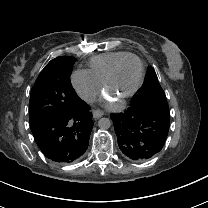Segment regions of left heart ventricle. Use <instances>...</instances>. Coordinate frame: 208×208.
<instances>
[{"label": "left heart ventricle", "mask_w": 208, "mask_h": 208, "mask_svg": "<svg viewBox=\"0 0 208 208\" xmlns=\"http://www.w3.org/2000/svg\"><path fill=\"white\" fill-rule=\"evenodd\" d=\"M140 78V66L136 59L127 58L118 67L110 91L120 97L132 91Z\"/></svg>", "instance_id": "obj_1"}]
</instances>
